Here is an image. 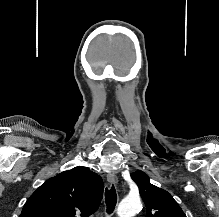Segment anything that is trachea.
Listing matches in <instances>:
<instances>
[{
  "label": "trachea",
  "instance_id": "1",
  "mask_svg": "<svg viewBox=\"0 0 219 217\" xmlns=\"http://www.w3.org/2000/svg\"><path fill=\"white\" fill-rule=\"evenodd\" d=\"M105 202L107 206V213L111 214L117 203V194L114 185L110 189H105Z\"/></svg>",
  "mask_w": 219,
  "mask_h": 217
}]
</instances>
